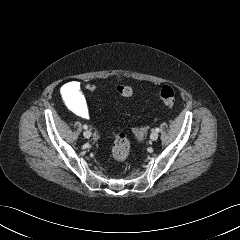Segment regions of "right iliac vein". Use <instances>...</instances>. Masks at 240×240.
Wrapping results in <instances>:
<instances>
[{"label": "right iliac vein", "mask_w": 240, "mask_h": 240, "mask_svg": "<svg viewBox=\"0 0 240 240\" xmlns=\"http://www.w3.org/2000/svg\"><path fill=\"white\" fill-rule=\"evenodd\" d=\"M83 136L85 138H90L91 137V132L89 130H86V131L83 132Z\"/></svg>", "instance_id": "1"}]
</instances>
